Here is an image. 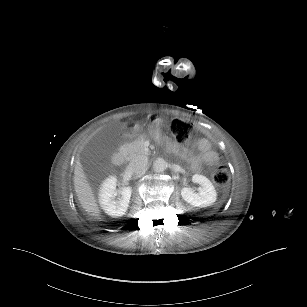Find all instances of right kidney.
<instances>
[{"label": "right kidney", "mask_w": 307, "mask_h": 307, "mask_svg": "<svg viewBox=\"0 0 307 307\" xmlns=\"http://www.w3.org/2000/svg\"><path fill=\"white\" fill-rule=\"evenodd\" d=\"M116 186L117 178L109 176L101 184L98 194L101 208L106 214L114 218L121 217L126 213L132 194L130 186L122 187L120 190H117ZM118 193L121 194V197L115 199Z\"/></svg>", "instance_id": "obj_1"}]
</instances>
